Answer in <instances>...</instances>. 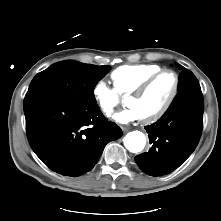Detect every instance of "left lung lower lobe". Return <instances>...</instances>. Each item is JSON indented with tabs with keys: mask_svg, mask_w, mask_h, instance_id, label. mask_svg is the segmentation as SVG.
<instances>
[{
	"mask_svg": "<svg viewBox=\"0 0 221 221\" xmlns=\"http://www.w3.org/2000/svg\"><path fill=\"white\" fill-rule=\"evenodd\" d=\"M203 96L193 88L171 105L165 114L145 129L152 147L135 157L139 168L148 175H166L193 153L203 127Z\"/></svg>",
	"mask_w": 221,
	"mask_h": 221,
	"instance_id": "1",
	"label": "left lung lower lobe"
}]
</instances>
